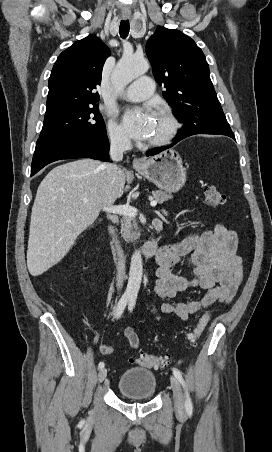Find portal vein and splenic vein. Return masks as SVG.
Masks as SVG:
<instances>
[{"mask_svg":"<svg viewBox=\"0 0 272 452\" xmlns=\"http://www.w3.org/2000/svg\"><path fill=\"white\" fill-rule=\"evenodd\" d=\"M86 201V200H85ZM157 205L156 200L150 201V206L155 207ZM103 211L107 213L120 214L124 216L135 217L138 213L137 208L130 205H119V206H105Z\"/></svg>","mask_w":272,"mask_h":452,"instance_id":"18ae733b","label":"portal vein and splenic vein"}]
</instances>
